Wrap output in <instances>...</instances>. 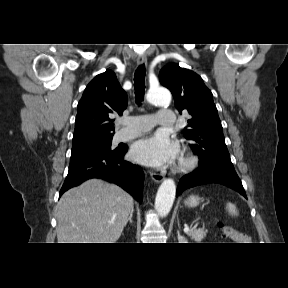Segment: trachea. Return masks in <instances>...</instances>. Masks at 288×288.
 <instances>
[{"label":"trachea","instance_id":"1","mask_svg":"<svg viewBox=\"0 0 288 288\" xmlns=\"http://www.w3.org/2000/svg\"><path fill=\"white\" fill-rule=\"evenodd\" d=\"M145 65H140L134 74V86H135V99L138 105H141L145 93Z\"/></svg>","mask_w":288,"mask_h":288}]
</instances>
